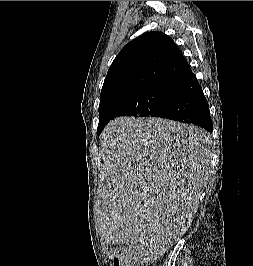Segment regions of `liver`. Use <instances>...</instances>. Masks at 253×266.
<instances>
[{"instance_id": "liver-1", "label": "liver", "mask_w": 253, "mask_h": 266, "mask_svg": "<svg viewBox=\"0 0 253 266\" xmlns=\"http://www.w3.org/2000/svg\"><path fill=\"white\" fill-rule=\"evenodd\" d=\"M100 233L157 258L187 231L206 186L210 135L162 118L118 117L101 134Z\"/></svg>"}]
</instances>
